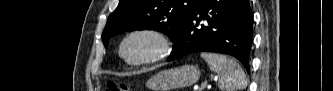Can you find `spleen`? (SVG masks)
<instances>
[{
  "mask_svg": "<svg viewBox=\"0 0 333 91\" xmlns=\"http://www.w3.org/2000/svg\"><path fill=\"white\" fill-rule=\"evenodd\" d=\"M201 57L211 71L218 76L221 91H238L247 86V79L240 65L232 58L221 54L202 52Z\"/></svg>",
  "mask_w": 333,
  "mask_h": 91,
  "instance_id": "spleen-1",
  "label": "spleen"
}]
</instances>
